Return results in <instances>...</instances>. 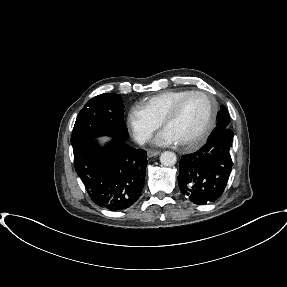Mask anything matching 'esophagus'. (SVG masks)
Segmentation results:
<instances>
[{
    "mask_svg": "<svg viewBox=\"0 0 287 287\" xmlns=\"http://www.w3.org/2000/svg\"><path fill=\"white\" fill-rule=\"evenodd\" d=\"M160 154V151H149L148 157H154Z\"/></svg>",
    "mask_w": 287,
    "mask_h": 287,
    "instance_id": "34e87169",
    "label": "esophagus"
}]
</instances>
